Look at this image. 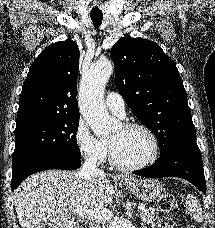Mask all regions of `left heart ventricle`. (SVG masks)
<instances>
[{
	"instance_id": "b2bd125f",
	"label": "left heart ventricle",
	"mask_w": 215,
	"mask_h": 228,
	"mask_svg": "<svg viewBox=\"0 0 215 228\" xmlns=\"http://www.w3.org/2000/svg\"><path fill=\"white\" fill-rule=\"evenodd\" d=\"M115 158L122 164L134 165L142 162L151 149L147 134L139 129H124L123 126L116 130L108 140Z\"/></svg>"
}]
</instances>
